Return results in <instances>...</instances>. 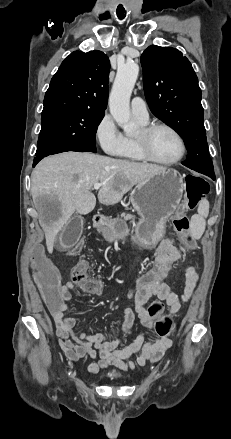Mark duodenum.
Segmentation results:
<instances>
[{"label":"duodenum","mask_w":231,"mask_h":439,"mask_svg":"<svg viewBox=\"0 0 231 439\" xmlns=\"http://www.w3.org/2000/svg\"><path fill=\"white\" fill-rule=\"evenodd\" d=\"M103 223H104V217H103V216H101V215H96V216H94V218H93V224H94L96 227H100V226H102Z\"/></svg>","instance_id":"obj_1"}]
</instances>
